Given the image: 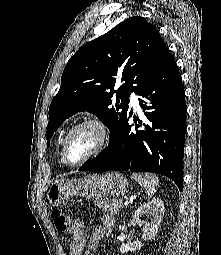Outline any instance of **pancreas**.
<instances>
[{
    "label": "pancreas",
    "mask_w": 221,
    "mask_h": 255,
    "mask_svg": "<svg viewBox=\"0 0 221 255\" xmlns=\"http://www.w3.org/2000/svg\"><path fill=\"white\" fill-rule=\"evenodd\" d=\"M96 205L104 212L115 215L123 207V202L122 199H102L99 200Z\"/></svg>",
    "instance_id": "pancreas-1"
}]
</instances>
